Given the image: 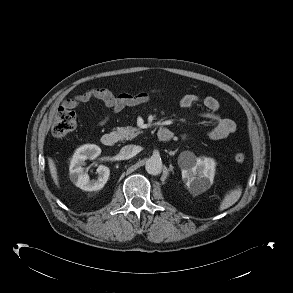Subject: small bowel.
<instances>
[{"label": "small bowel", "mask_w": 293, "mask_h": 293, "mask_svg": "<svg viewBox=\"0 0 293 293\" xmlns=\"http://www.w3.org/2000/svg\"><path fill=\"white\" fill-rule=\"evenodd\" d=\"M150 98L147 92H140L137 94L121 93L115 95L107 88H90L64 99L62 105L66 109H75L80 104L86 103L92 99L99 100L107 109V113L98 123L100 126H104L109 121L112 113H119L126 107L144 104L148 102ZM198 103H201L205 108L202 116L214 124L213 128L208 132V137L210 139H224L235 132L236 125L234 121L222 118L217 113L219 110V102L216 98L212 96L201 97L196 94H186L179 101V105L183 109H191Z\"/></svg>", "instance_id": "c3829d8e"}]
</instances>
